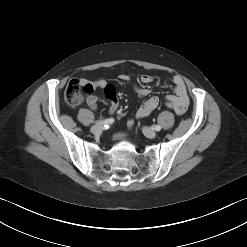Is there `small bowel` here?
I'll use <instances>...</instances> for the list:
<instances>
[{
  "label": "small bowel",
  "instance_id": "small-bowel-1",
  "mask_svg": "<svg viewBox=\"0 0 247 247\" xmlns=\"http://www.w3.org/2000/svg\"><path fill=\"white\" fill-rule=\"evenodd\" d=\"M121 79L125 82L130 81L128 75H121ZM141 82L144 84L151 83L153 81L152 76L144 74L140 78ZM172 83L174 86V94L168 95L166 100H170L175 104V112L178 115H182L186 112L189 105V97L187 93V87L182 77L176 75L172 78ZM82 85L90 86L93 89H102L105 95V101L109 105L110 113L116 112L118 108V99L116 94V89L113 85L109 84L106 80L91 81L87 79L81 80ZM136 94L141 97H147L150 95V89L143 88L139 86H134ZM99 98L96 95H89L86 98V103L90 109L95 110L98 105ZM159 100L157 97H149L136 111V118H144L150 115L158 106ZM133 126V120L128 121V127Z\"/></svg>",
  "mask_w": 247,
  "mask_h": 247
}]
</instances>
